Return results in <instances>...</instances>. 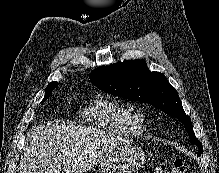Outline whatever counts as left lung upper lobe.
Here are the masks:
<instances>
[{"label": "left lung upper lobe", "mask_w": 219, "mask_h": 173, "mask_svg": "<svg viewBox=\"0 0 219 173\" xmlns=\"http://www.w3.org/2000/svg\"><path fill=\"white\" fill-rule=\"evenodd\" d=\"M91 82L101 90L133 101L149 103L168 115L178 118L187 129L190 140L198 145V155L203 151L195 137L191 119L184 112L175 88L159 72H150L144 60H128L98 67L90 74Z\"/></svg>", "instance_id": "1"}]
</instances>
